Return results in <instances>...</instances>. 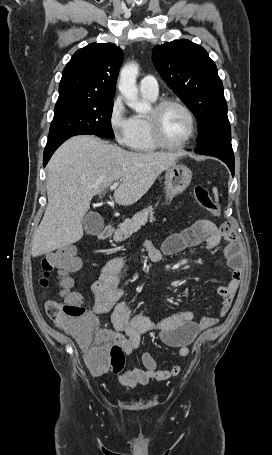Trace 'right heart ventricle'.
I'll return each mask as SVG.
<instances>
[{
	"instance_id": "right-heart-ventricle-1",
	"label": "right heart ventricle",
	"mask_w": 272,
	"mask_h": 455,
	"mask_svg": "<svg viewBox=\"0 0 272 455\" xmlns=\"http://www.w3.org/2000/svg\"><path fill=\"white\" fill-rule=\"evenodd\" d=\"M149 101H155L157 97H150L147 95H143ZM133 122V133L132 138L129 144V147L136 151V152H153L157 150V146L154 144L148 123H147V116L136 115L132 117Z\"/></svg>"
}]
</instances>
